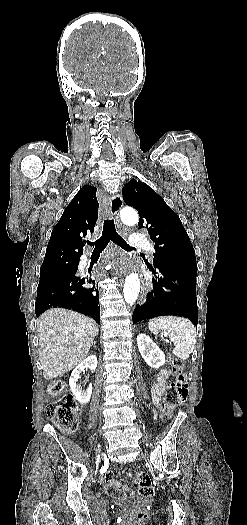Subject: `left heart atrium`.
<instances>
[{"mask_svg": "<svg viewBox=\"0 0 247 525\" xmlns=\"http://www.w3.org/2000/svg\"><path fill=\"white\" fill-rule=\"evenodd\" d=\"M100 261H104V272H94L96 279L101 280L110 274H119L129 269L128 254L107 251L103 254Z\"/></svg>", "mask_w": 247, "mask_h": 525, "instance_id": "1", "label": "left heart atrium"}]
</instances>
